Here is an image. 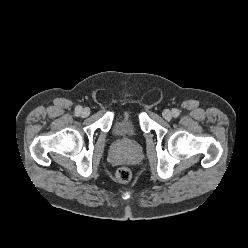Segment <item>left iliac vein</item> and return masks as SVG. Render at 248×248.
Here are the masks:
<instances>
[{
  "mask_svg": "<svg viewBox=\"0 0 248 248\" xmlns=\"http://www.w3.org/2000/svg\"><path fill=\"white\" fill-rule=\"evenodd\" d=\"M162 116L164 119L166 120H171L173 114L172 112L169 110V109H165L163 112H162Z\"/></svg>",
  "mask_w": 248,
  "mask_h": 248,
  "instance_id": "4c4485c4",
  "label": "left iliac vein"
}]
</instances>
